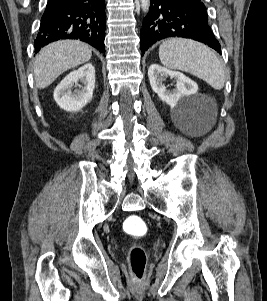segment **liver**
<instances>
[{
  "instance_id": "obj_1",
  "label": "liver",
  "mask_w": 267,
  "mask_h": 301,
  "mask_svg": "<svg viewBox=\"0 0 267 301\" xmlns=\"http://www.w3.org/2000/svg\"><path fill=\"white\" fill-rule=\"evenodd\" d=\"M91 56L89 46L78 40L57 41L45 46L34 61L36 87H48L62 73L88 62Z\"/></svg>"
}]
</instances>
